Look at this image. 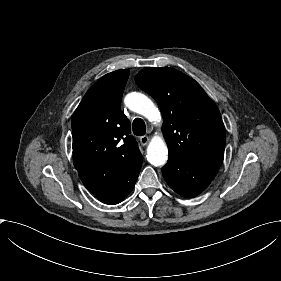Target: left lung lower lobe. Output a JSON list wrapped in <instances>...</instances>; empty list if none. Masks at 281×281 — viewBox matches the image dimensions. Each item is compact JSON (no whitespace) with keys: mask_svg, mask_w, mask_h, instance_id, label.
Returning a JSON list of instances; mask_svg holds the SVG:
<instances>
[{"mask_svg":"<svg viewBox=\"0 0 281 281\" xmlns=\"http://www.w3.org/2000/svg\"><path fill=\"white\" fill-rule=\"evenodd\" d=\"M219 167L218 164H195L169 157L162 173L179 195L195 197L207 188Z\"/></svg>","mask_w":281,"mask_h":281,"instance_id":"0a47b994","label":"left lung lower lobe"}]
</instances>
